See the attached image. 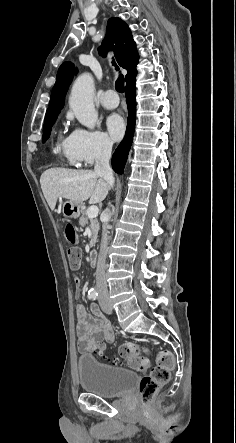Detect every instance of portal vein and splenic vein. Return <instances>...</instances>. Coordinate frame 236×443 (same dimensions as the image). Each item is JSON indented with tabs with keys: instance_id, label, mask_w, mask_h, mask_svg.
<instances>
[{
	"instance_id": "obj_1",
	"label": "portal vein and splenic vein",
	"mask_w": 236,
	"mask_h": 443,
	"mask_svg": "<svg viewBox=\"0 0 236 443\" xmlns=\"http://www.w3.org/2000/svg\"><path fill=\"white\" fill-rule=\"evenodd\" d=\"M98 215V207L97 206H91L88 209V217L90 219L95 218Z\"/></svg>"
}]
</instances>
